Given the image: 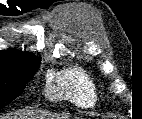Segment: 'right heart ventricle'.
I'll return each mask as SVG.
<instances>
[{"instance_id": "1", "label": "right heart ventricle", "mask_w": 142, "mask_h": 119, "mask_svg": "<svg viewBox=\"0 0 142 119\" xmlns=\"http://www.w3.org/2000/svg\"><path fill=\"white\" fill-rule=\"evenodd\" d=\"M47 96L50 99L69 100L81 108H92L98 100L95 83L78 67L50 73Z\"/></svg>"}]
</instances>
